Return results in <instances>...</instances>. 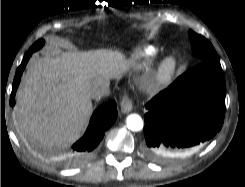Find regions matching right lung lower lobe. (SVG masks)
Instances as JSON below:
<instances>
[{
    "instance_id": "98d812e1",
    "label": "right lung lower lobe",
    "mask_w": 245,
    "mask_h": 187,
    "mask_svg": "<svg viewBox=\"0 0 245 187\" xmlns=\"http://www.w3.org/2000/svg\"><path fill=\"white\" fill-rule=\"evenodd\" d=\"M33 50H28L16 71L10 95V105H15V94L20 83L21 75L31 57ZM116 102L109 101L102 105L92 115L89 127L84 136L72 146V161L76 164L90 160L97 150V146L104 137L105 131L115 122L117 118Z\"/></svg>"
}]
</instances>
